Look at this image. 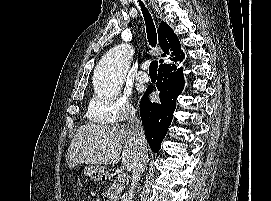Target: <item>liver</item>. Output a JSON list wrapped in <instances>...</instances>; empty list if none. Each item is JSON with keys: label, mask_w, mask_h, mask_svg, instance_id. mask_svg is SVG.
<instances>
[{"label": "liver", "mask_w": 271, "mask_h": 201, "mask_svg": "<svg viewBox=\"0 0 271 201\" xmlns=\"http://www.w3.org/2000/svg\"><path fill=\"white\" fill-rule=\"evenodd\" d=\"M136 147L125 125L85 124L80 126L66 155L70 168L78 164H116L120 159L131 171Z\"/></svg>", "instance_id": "liver-1"}]
</instances>
